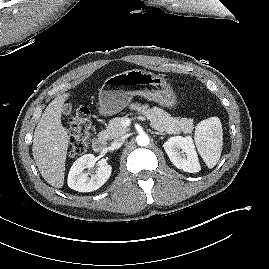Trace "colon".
Listing matches in <instances>:
<instances>
[{
	"mask_svg": "<svg viewBox=\"0 0 269 269\" xmlns=\"http://www.w3.org/2000/svg\"><path fill=\"white\" fill-rule=\"evenodd\" d=\"M68 123L70 128L69 154L77 156L86 151L91 137V120L88 108L83 106L75 108Z\"/></svg>",
	"mask_w": 269,
	"mask_h": 269,
	"instance_id": "5ec220e1",
	"label": "colon"
}]
</instances>
